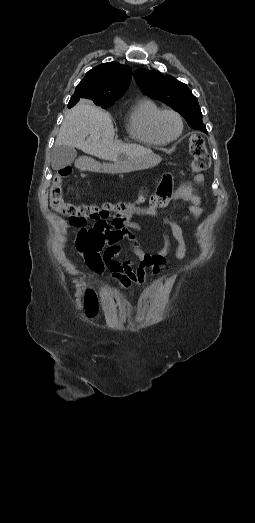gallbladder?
<instances>
[{
	"mask_svg": "<svg viewBox=\"0 0 255 523\" xmlns=\"http://www.w3.org/2000/svg\"><path fill=\"white\" fill-rule=\"evenodd\" d=\"M76 156L77 152L75 148H71V146H54L51 150L52 170H62V168L70 166Z\"/></svg>",
	"mask_w": 255,
	"mask_h": 523,
	"instance_id": "bac80fb5",
	"label": "gallbladder"
}]
</instances>
